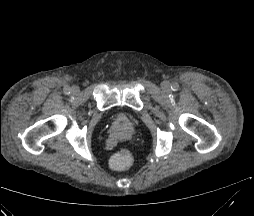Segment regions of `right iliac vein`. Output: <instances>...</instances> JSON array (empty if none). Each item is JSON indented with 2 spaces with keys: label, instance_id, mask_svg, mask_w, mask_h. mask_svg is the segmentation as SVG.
Segmentation results:
<instances>
[{
  "label": "right iliac vein",
  "instance_id": "63e3f726",
  "mask_svg": "<svg viewBox=\"0 0 254 216\" xmlns=\"http://www.w3.org/2000/svg\"><path fill=\"white\" fill-rule=\"evenodd\" d=\"M72 93L74 95H77L79 93V88L77 86H74L72 89H71Z\"/></svg>",
  "mask_w": 254,
  "mask_h": 216
}]
</instances>
